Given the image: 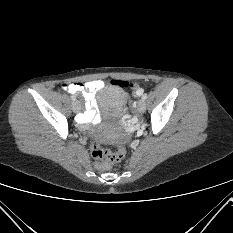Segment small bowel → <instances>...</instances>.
Here are the masks:
<instances>
[{
  "label": "small bowel",
  "mask_w": 233,
  "mask_h": 233,
  "mask_svg": "<svg viewBox=\"0 0 233 233\" xmlns=\"http://www.w3.org/2000/svg\"><path fill=\"white\" fill-rule=\"evenodd\" d=\"M104 87V82L101 80H93L85 83L74 82L64 84L63 89L70 94H81L85 102V110L78 116V123L81 127L87 124H95L99 120V113L97 110V103L95 94ZM141 89L136 90V95H140Z\"/></svg>",
  "instance_id": "obj_1"
}]
</instances>
